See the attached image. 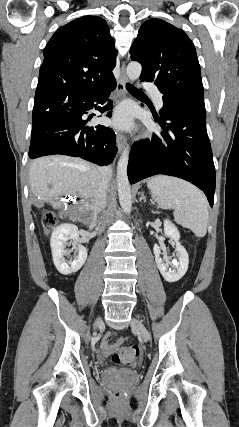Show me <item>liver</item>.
Masks as SVG:
<instances>
[{"mask_svg":"<svg viewBox=\"0 0 239 427\" xmlns=\"http://www.w3.org/2000/svg\"><path fill=\"white\" fill-rule=\"evenodd\" d=\"M98 166L78 158L48 156L32 161L29 181L39 206L48 202L61 208V196H79L83 209L95 218V198L99 187Z\"/></svg>","mask_w":239,"mask_h":427,"instance_id":"liver-1","label":"liver"}]
</instances>
